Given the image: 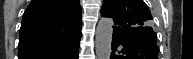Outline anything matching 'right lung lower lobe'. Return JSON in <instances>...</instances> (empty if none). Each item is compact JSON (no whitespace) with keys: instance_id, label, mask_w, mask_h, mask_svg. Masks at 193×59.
<instances>
[{"instance_id":"obj_1","label":"right lung lower lobe","mask_w":193,"mask_h":59,"mask_svg":"<svg viewBox=\"0 0 193 59\" xmlns=\"http://www.w3.org/2000/svg\"><path fill=\"white\" fill-rule=\"evenodd\" d=\"M79 42L80 38L56 53L35 59H78Z\"/></svg>"}]
</instances>
